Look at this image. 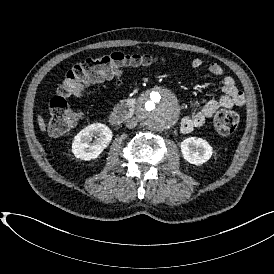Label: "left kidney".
Instances as JSON below:
<instances>
[{
  "instance_id": "1",
  "label": "left kidney",
  "mask_w": 274,
  "mask_h": 274,
  "mask_svg": "<svg viewBox=\"0 0 274 274\" xmlns=\"http://www.w3.org/2000/svg\"><path fill=\"white\" fill-rule=\"evenodd\" d=\"M180 147L183 158L191 164L201 165L212 156V147L202 138H186L181 142Z\"/></svg>"
}]
</instances>
